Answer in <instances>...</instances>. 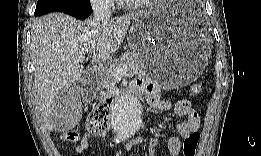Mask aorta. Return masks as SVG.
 <instances>
[{"instance_id":"aorta-1","label":"aorta","mask_w":261,"mask_h":156,"mask_svg":"<svg viewBox=\"0 0 261 156\" xmlns=\"http://www.w3.org/2000/svg\"><path fill=\"white\" fill-rule=\"evenodd\" d=\"M142 124V106L135 96H124L112 110L111 125L121 139L135 136Z\"/></svg>"}]
</instances>
